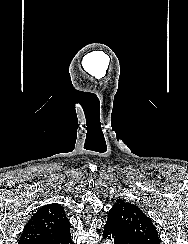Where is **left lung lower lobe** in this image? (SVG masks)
I'll use <instances>...</instances> for the list:
<instances>
[{
  "label": "left lung lower lobe",
  "mask_w": 188,
  "mask_h": 244,
  "mask_svg": "<svg viewBox=\"0 0 188 244\" xmlns=\"http://www.w3.org/2000/svg\"><path fill=\"white\" fill-rule=\"evenodd\" d=\"M103 238L111 240L114 244H141L130 237L113 213L108 214L104 225Z\"/></svg>",
  "instance_id": "left-lung-lower-lobe-1"
}]
</instances>
